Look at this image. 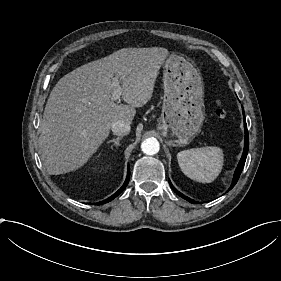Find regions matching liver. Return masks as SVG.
<instances>
[{
  "label": "liver",
  "mask_w": 281,
  "mask_h": 281,
  "mask_svg": "<svg viewBox=\"0 0 281 281\" xmlns=\"http://www.w3.org/2000/svg\"><path fill=\"white\" fill-rule=\"evenodd\" d=\"M166 48H123L63 76L47 100L39 147L47 172L68 173L82 167L108 138L118 120L131 123L138 107L152 97ZM116 77L122 99L111 101Z\"/></svg>",
  "instance_id": "liver-1"
}]
</instances>
